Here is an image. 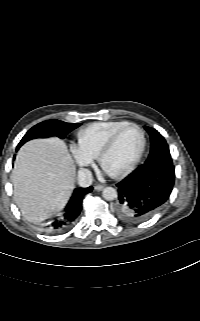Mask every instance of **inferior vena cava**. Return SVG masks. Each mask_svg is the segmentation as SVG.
<instances>
[{
  "mask_svg": "<svg viewBox=\"0 0 200 321\" xmlns=\"http://www.w3.org/2000/svg\"><path fill=\"white\" fill-rule=\"evenodd\" d=\"M77 182L81 187H89L93 182L91 171L86 168H80L77 175Z\"/></svg>",
  "mask_w": 200,
  "mask_h": 321,
  "instance_id": "1",
  "label": "inferior vena cava"
}]
</instances>
